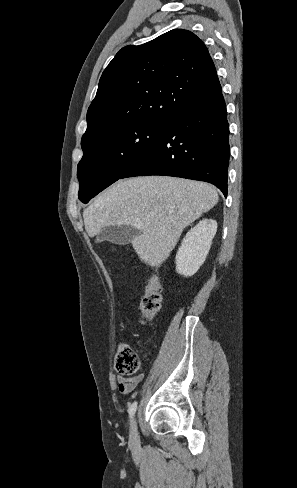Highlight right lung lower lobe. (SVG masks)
<instances>
[{
  "instance_id": "1",
  "label": "right lung lower lobe",
  "mask_w": 297,
  "mask_h": 488,
  "mask_svg": "<svg viewBox=\"0 0 297 488\" xmlns=\"http://www.w3.org/2000/svg\"><path fill=\"white\" fill-rule=\"evenodd\" d=\"M228 138L221 89L170 120L156 142L121 178L165 175L206 181L226 197Z\"/></svg>"
}]
</instances>
